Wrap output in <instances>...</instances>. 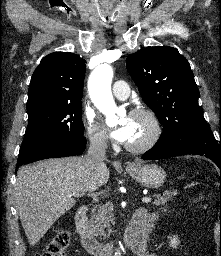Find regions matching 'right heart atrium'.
Segmentation results:
<instances>
[{"instance_id":"obj_1","label":"right heart atrium","mask_w":221,"mask_h":256,"mask_svg":"<svg viewBox=\"0 0 221 256\" xmlns=\"http://www.w3.org/2000/svg\"><path fill=\"white\" fill-rule=\"evenodd\" d=\"M85 125L88 138L92 145L103 147L106 144V136L101 127L98 125L95 115L92 111L85 113Z\"/></svg>"}]
</instances>
